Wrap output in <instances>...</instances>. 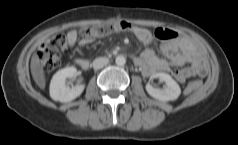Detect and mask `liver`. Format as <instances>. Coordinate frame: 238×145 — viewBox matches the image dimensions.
Masks as SVG:
<instances>
[{"mask_svg": "<svg viewBox=\"0 0 238 145\" xmlns=\"http://www.w3.org/2000/svg\"><path fill=\"white\" fill-rule=\"evenodd\" d=\"M30 69L35 83L38 85L39 88L44 90L46 85L45 74L41 61L36 52L32 55Z\"/></svg>", "mask_w": 238, "mask_h": 145, "instance_id": "6515ba94", "label": "liver"}]
</instances>
